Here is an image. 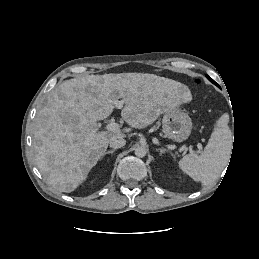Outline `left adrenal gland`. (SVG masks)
Here are the masks:
<instances>
[{
    "mask_svg": "<svg viewBox=\"0 0 259 259\" xmlns=\"http://www.w3.org/2000/svg\"><path fill=\"white\" fill-rule=\"evenodd\" d=\"M156 150L159 151L160 155H162V154H164V153L167 152V150L164 149V148H158V149H156Z\"/></svg>",
    "mask_w": 259,
    "mask_h": 259,
    "instance_id": "left-adrenal-gland-1",
    "label": "left adrenal gland"
}]
</instances>
